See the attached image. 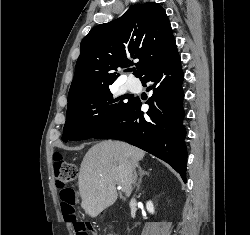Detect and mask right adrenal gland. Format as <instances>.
I'll return each mask as SVG.
<instances>
[{"label": "right adrenal gland", "mask_w": 250, "mask_h": 235, "mask_svg": "<svg viewBox=\"0 0 250 235\" xmlns=\"http://www.w3.org/2000/svg\"><path fill=\"white\" fill-rule=\"evenodd\" d=\"M138 172H139V180H138V184H137V191L140 190V185H141V182H142V177L144 175L149 176V172L142 170V168L140 166H138Z\"/></svg>", "instance_id": "right-adrenal-gland-1"}]
</instances>
